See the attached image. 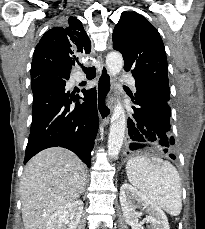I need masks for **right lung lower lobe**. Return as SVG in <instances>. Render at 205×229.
Listing matches in <instances>:
<instances>
[{
	"label": "right lung lower lobe",
	"mask_w": 205,
	"mask_h": 229,
	"mask_svg": "<svg viewBox=\"0 0 205 229\" xmlns=\"http://www.w3.org/2000/svg\"><path fill=\"white\" fill-rule=\"evenodd\" d=\"M66 80L53 72L31 80L33 117L24 164L41 150L60 146L90 167L98 130L96 89L82 90L85 102L80 104L79 95L65 90Z\"/></svg>",
	"instance_id": "1"
}]
</instances>
